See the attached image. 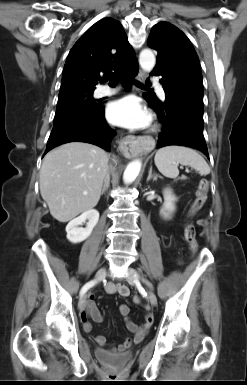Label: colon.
Wrapping results in <instances>:
<instances>
[{"label": "colon", "instance_id": "obj_1", "mask_svg": "<svg viewBox=\"0 0 247 385\" xmlns=\"http://www.w3.org/2000/svg\"><path fill=\"white\" fill-rule=\"evenodd\" d=\"M208 191L209 182L206 179H202L198 185L196 198L192 203V206L188 212L187 220L184 224V239L192 253H195L198 250V242L196 240V229L191 220L206 203ZM137 299L138 297L136 296L134 298L135 303H137Z\"/></svg>", "mask_w": 247, "mask_h": 385}]
</instances>
